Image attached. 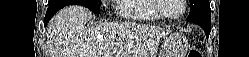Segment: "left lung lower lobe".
<instances>
[{
  "instance_id": "obj_1",
  "label": "left lung lower lobe",
  "mask_w": 249,
  "mask_h": 57,
  "mask_svg": "<svg viewBox=\"0 0 249 57\" xmlns=\"http://www.w3.org/2000/svg\"><path fill=\"white\" fill-rule=\"evenodd\" d=\"M193 22H196L197 24H199L203 29L204 31L206 32V37L208 38L209 34H210V31H211V22H207V21H193Z\"/></svg>"
}]
</instances>
